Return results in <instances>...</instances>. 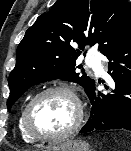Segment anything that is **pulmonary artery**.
I'll return each instance as SVG.
<instances>
[{
	"mask_svg": "<svg viewBox=\"0 0 131 151\" xmlns=\"http://www.w3.org/2000/svg\"><path fill=\"white\" fill-rule=\"evenodd\" d=\"M86 64L98 75L104 74L100 58L95 52H89L86 56Z\"/></svg>",
	"mask_w": 131,
	"mask_h": 151,
	"instance_id": "pulmonary-artery-1",
	"label": "pulmonary artery"
}]
</instances>
